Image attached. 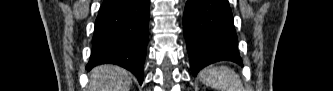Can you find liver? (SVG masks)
<instances>
[{"instance_id":"liver-1","label":"liver","mask_w":333,"mask_h":91,"mask_svg":"<svg viewBox=\"0 0 333 91\" xmlns=\"http://www.w3.org/2000/svg\"><path fill=\"white\" fill-rule=\"evenodd\" d=\"M129 72L115 65H100L90 72L89 91H129Z\"/></svg>"}]
</instances>
